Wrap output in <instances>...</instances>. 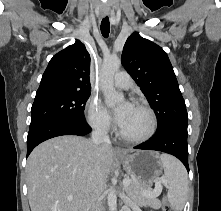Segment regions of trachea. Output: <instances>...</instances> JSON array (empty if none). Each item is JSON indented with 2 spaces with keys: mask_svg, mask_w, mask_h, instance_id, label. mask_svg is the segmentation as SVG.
<instances>
[{
  "mask_svg": "<svg viewBox=\"0 0 221 211\" xmlns=\"http://www.w3.org/2000/svg\"><path fill=\"white\" fill-rule=\"evenodd\" d=\"M100 28H101L102 35L105 38H107L109 35V31H110V23H109L108 16H106L105 18L102 19Z\"/></svg>",
  "mask_w": 221,
  "mask_h": 211,
  "instance_id": "obj_1",
  "label": "trachea"
}]
</instances>
